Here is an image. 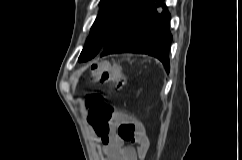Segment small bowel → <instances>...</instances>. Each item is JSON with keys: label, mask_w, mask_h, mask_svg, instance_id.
<instances>
[{"label": "small bowel", "mask_w": 242, "mask_h": 160, "mask_svg": "<svg viewBox=\"0 0 242 160\" xmlns=\"http://www.w3.org/2000/svg\"><path fill=\"white\" fill-rule=\"evenodd\" d=\"M123 125H133L135 128L130 141L122 135ZM98 136L107 160H139L149 148V139L143 125L123 112L115 113L108 129Z\"/></svg>", "instance_id": "obj_1"}]
</instances>
